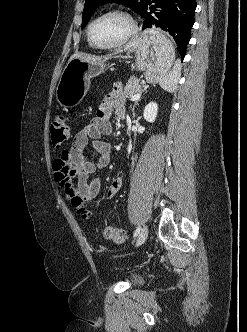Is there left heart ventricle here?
Instances as JSON below:
<instances>
[{
    "label": "left heart ventricle",
    "instance_id": "left-heart-ventricle-1",
    "mask_svg": "<svg viewBox=\"0 0 247 332\" xmlns=\"http://www.w3.org/2000/svg\"><path fill=\"white\" fill-rule=\"evenodd\" d=\"M129 29L127 20L109 15L97 20L91 29L92 39L100 45H110L121 40Z\"/></svg>",
    "mask_w": 247,
    "mask_h": 332
}]
</instances>
